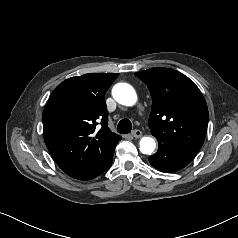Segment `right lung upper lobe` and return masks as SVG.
<instances>
[{
	"label": "right lung upper lobe",
	"instance_id": "right-lung-upper-lobe-1",
	"mask_svg": "<svg viewBox=\"0 0 238 238\" xmlns=\"http://www.w3.org/2000/svg\"><path fill=\"white\" fill-rule=\"evenodd\" d=\"M118 74L71 77L52 92L42 115L44 141L70 177L90 180L102 171L121 137L107 127L104 95ZM101 120V129L97 122Z\"/></svg>",
	"mask_w": 238,
	"mask_h": 238
}]
</instances>
